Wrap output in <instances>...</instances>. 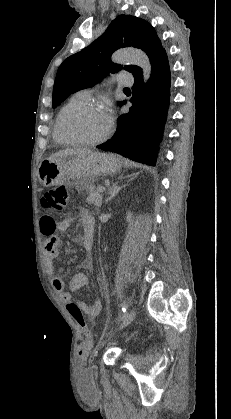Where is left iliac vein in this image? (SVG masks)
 Here are the masks:
<instances>
[{
    "instance_id": "1",
    "label": "left iliac vein",
    "mask_w": 231,
    "mask_h": 419,
    "mask_svg": "<svg viewBox=\"0 0 231 419\" xmlns=\"http://www.w3.org/2000/svg\"><path fill=\"white\" fill-rule=\"evenodd\" d=\"M136 308H133L126 316L118 327V330H122L127 327L136 317Z\"/></svg>"
}]
</instances>
